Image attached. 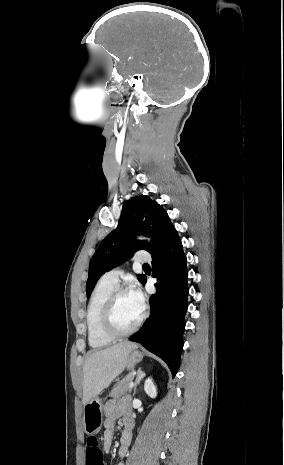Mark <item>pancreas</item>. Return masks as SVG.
Instances as JSON below:
<instances>
[{
    "label": "pancreas",
    "instance_id": "obj_1",
    "mask_svg": "<svg viewBox=\"0 0 284 465\" xmlns=\"http://www.w3.org/2000/svg\"><path fill=\"white\" fill-rule=\"evenodd\" d=\"M133 373L126 375L125 379H122L118 385H115L112 389L109 397H114V399H119V397H124L126 393H131L130 383L132 381Z\"/></svg>",
    "mask_w": 284,
    "mask_h": 465
}]
</instances>
